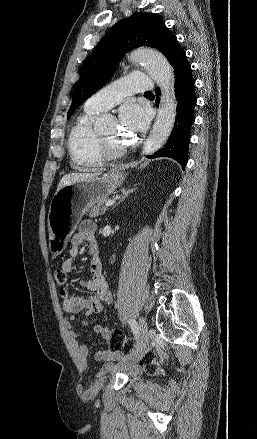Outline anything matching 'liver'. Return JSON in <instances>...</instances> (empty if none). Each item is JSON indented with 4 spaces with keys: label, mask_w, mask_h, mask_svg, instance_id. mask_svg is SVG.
<instances>
[{
    "label": "liver",
    "mask_w": 257,
    "mask_h": 439,
    "mask_svg": "<svg viewBox=\"0 0 257 439\" xmlns=\"http://www.w3.org/2000/svg\"><path fill=\"white\" fill-rule=\"evenodd\" d=\"M100 174H101V172L71 173V174L64 175L58 184L57 191L60 190L65 185H69V184H72L74 182H78V181H82V180L92 179V178L98 177Z\"/></svg>",
    "instance_id": "obj_1"
}]
</instances>
